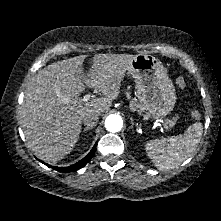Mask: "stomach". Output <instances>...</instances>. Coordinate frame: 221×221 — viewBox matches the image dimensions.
<instances>
[{"label": "stomach", "mask_w": 221, "mask_h": 221, "mask_svg": "<svg viewBox=\"0 0 221 221\" xmlns=\"http://www.w3.org/2000/svg\"><path fill=\"white\" fill-rule=\"evenodd\" d=\"M128 73L135 80L137 98L149 116L163 118L172 111L176 101L175 88L159 59L138 54L131 61Z\"/></svg>", "instance_id": "0dacf381"}]
</instances>
